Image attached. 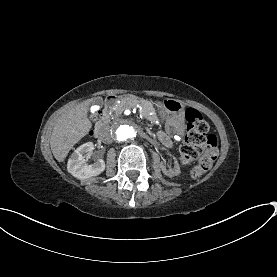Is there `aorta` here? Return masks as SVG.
<instances>
[{"mask_svg": "<svg viewBox=\"0 0 277 277\" xmlns=\"http://www.w3.org/2000/svg\"><path fill=\"white\" fill-rule=\"evenodd\" d=\"M113 138L118 143H129L143 134V125L136 119L120 118L112 122Z\"/></svg>", "mask_w": 277, "mask_h": 277, "instance_id": "obj_1", "label": "aorta"}]
</instances>
